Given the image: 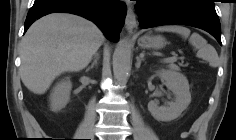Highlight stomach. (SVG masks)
<instances>
[{"instance_id":"1","label":"stomach","mask_w":236,"mask_h":140,"mask_svg":"<svg viewBox=\"0 0 236 140\" xmlns=\"http://www.w3.org/2000/svg\"><path fill=\"white\" fill-rule=\"evenodd\" d=\"M139 44L144 48L160 49L165 45V39L162 36H144L140 38Z\"/></svg>"}]
</instances>
